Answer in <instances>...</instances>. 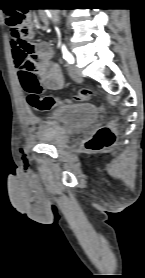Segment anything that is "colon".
<instances>
[{
	"label": "colon",
	"instance_id": "obj_1",
	"mask_svg": "<svg viewBox=\"0 0 145 278\" xmlns=\"http://www.w3.org/2000/svg\"><path fill=\"white\" fill-rule=\"evenodd\" d=\"M6 22L10 34L20 39V47L25 52L34 50L33 44L27 38L30 26L29 12L22 8H15L8 12ZM22 86L27 93V102L31 109L38 112L50 110L56 106L83 102L90 98L91 90L83 88L71 98L60 99L52 95H43L38 78L34 73L22 77ZM115 130L111 124L101 126L95 135L86 143V148L91 151H99L110 146L115 140ZM26 152V148L22 149Z\"/></svg>",
	"mask_w": 145,
	"mask_h": 278
}]
</instances>
